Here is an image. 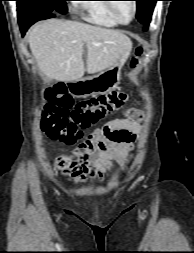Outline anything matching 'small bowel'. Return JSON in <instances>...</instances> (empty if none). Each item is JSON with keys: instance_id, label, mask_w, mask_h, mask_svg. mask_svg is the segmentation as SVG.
<instances>
[{"instance_id": "1", "label": "small bowel", "mask_w": 194, "mask_h": 253, "mask_svg": "<svg viewBox=\"0 0 194 253\" xmlns=\"http://www.w3.org/2000/svg\"><path fill=\"white\" fill-rule=\"evenodd\" d=\"M124 115V118L113 119L96 128L74 149L77 159L66 171L69 180L76 184L89 179L101 180L129 160L143 112L128 108Z\"/></svg>"}]
</instances>
